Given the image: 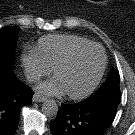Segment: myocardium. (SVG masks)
<instances>
[{"label": "myocardium", "instance_id": "obj_1", "mask_svg": "<svg viewBox=\"0 0 135 135\" xmlns=\"http://www.w3.org/2000/svg\"><path fill=\"white\" fill-rule=\"evenodd\" d=\"M89 48H98L100 49L101 53H102V65L101 68L99 70L98 75L96 76V78L94 79V81L82 92L80 93H68L67 95L69 98L73 99V100H79V99H83L87 96H89L99 85V83L101 82L105 70H106V66H107V55L106 52L104 50V48L97 43H90V44H85L82 45L80 47L75 48L74 50H72L69 54H67L65 57H63L62 59H60L54 66H53V74H56V72L68 65L69 63H71L80 53H82L83 51L89 49Z\"/></svg>", "mask_w": 135, "mask_h": 135}]
</instances>
